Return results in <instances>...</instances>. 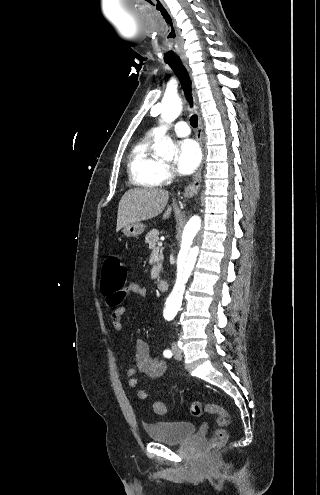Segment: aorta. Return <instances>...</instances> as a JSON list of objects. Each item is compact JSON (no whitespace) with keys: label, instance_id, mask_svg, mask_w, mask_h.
I'll list each match as a JSON object with an SVG mask.
<instances>
[{"label":"aorta","instance_id":"1","mask_svg":"<svg viewBox=\"0 0 320 495\" xmlns=\"http://www.w3.org/2000/svg\"><path fill=\"white\" fill-rule=\"evenodd\" d=\"M182 101L176 95L165 96L160 104L152 107L151 113L160 115L161 122L171 123L181 114ZM175 145L170 136H164L155 145L158 156L173 158ZM206 232V219L203 214L193 215L180 229L179 248L176 256V283L165 305V313L174 317L181 307L185 284L187 283L196 260L200 254L202 241Z\"/></svg>","mask_w":320,"mask_h":495}]
</instances>
